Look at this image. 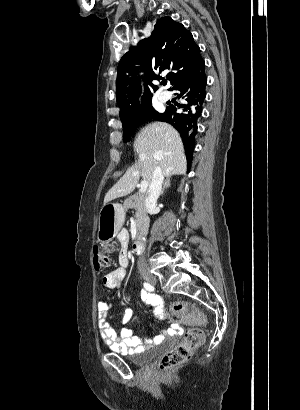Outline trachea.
I'll return each mask as SVG.
<instances>
[{
	"instance_id": "obj_1",
	"label": "trachea",
	"mask_w": 300,
	"mask_h": 410,
	"mask_svg": "<svg viewBox=\"0 0 300 410\" xmlns=\"http://www.w3.org/2000/svg\"><path fill=\"white\" fill-rule=\"evenodd\" d=\"M163 85H166V82H163Z\"/></svg>"
}]
</instances>
